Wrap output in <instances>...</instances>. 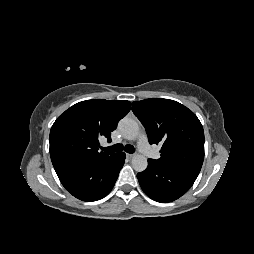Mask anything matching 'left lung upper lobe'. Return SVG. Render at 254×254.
I'll return each mask as SVG.
<instances>
[{
  "instance_id": "left-lung-upper-lobe-1",
  "label": "left lung upper lobe",
  "mask_w": 254,
  "mask_h": 254,
  "mask_svg": "<svg viewBox=\"0 0 254 254\" xmlns=\"http://www.w3.org/2000/svg\"><path fill=\"white\" fill-rule=\"evenodd\" d=\"M132 111L146 129L149 143L162 145L154 160L165 167L200 172L204 159V131L197 116L169 99L135 101Z\"/></svg>"
}]
</instances>
